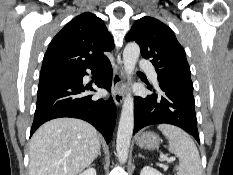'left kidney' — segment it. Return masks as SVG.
<instances>
[{
    "mask_svg": "<svg viewBox=\"0 0 233 175\" xmlns=\"http://www.w3.org/2000/svg\"><path fill=\"white\" fill-rule=\"evenodd\" d=\"M140 175H163V174L154 168L146 166L141 170Z\"/></svg>",
    "mask_w": 233,
    "mask_h": 175,
    "instance_id": "5707ae66",
    "label": "left kidney"
}]
</instances>
